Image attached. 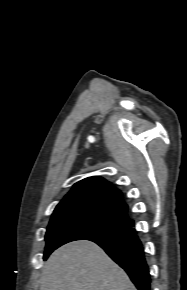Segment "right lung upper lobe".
Segmentation results:
<instances>
[{
  "mask_svg": "<svg viewBox=\"0 0 187 290\" xmlns=\"http://www.w3.org/2000/svg\"><path fill=\"white\" fill-rule=\"evenodd\" d=\"M82 207L104 208L133 224L127 217L128 206L124 203L121 192L99 177H89L77 182L56 206L54 213Z\"/></svg>",
  "mask_w": 187,
  "mask_h": 290,
  "instance_id": "cb5924a9",
  "label": "right lung upper lobe"
}]
</instances>
